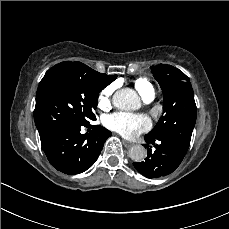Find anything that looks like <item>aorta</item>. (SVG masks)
I'll list each match as a JSON object with an SVG mask.
<instances>
[{
    "label": "aorta",
    "mask_w": 229,
    "mask_h": 229,
    "mask_svg": "<svg viewBox=\"0 0 229 229\" xmlns=\"http://www.w3.org/2000/svg\"><path fill=\"white\" fill-rule=\"evenodd\" d=\"M113 104L121 110H135L140 107V100L133 89L124 88L115 92ZM146 155V149L142 145H134L129 150V157L135 162L143 161Z\"/></svg>",
    "instance_id": "obj_1"
}]
</instances>
